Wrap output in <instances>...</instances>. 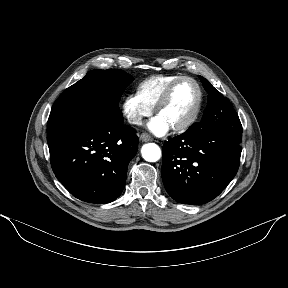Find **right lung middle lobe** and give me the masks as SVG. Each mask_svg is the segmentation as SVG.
Listing matches in <instances>:
<instances>
[{"mask_svg":"<svg viewBox=\"0 0 288 288\" xmlns=\"http://www.w3.org/2000/svg\"><path fill=\"white\" fill-rule=\"evenodd\" d=\"M132 81L129 74L119 69L91 70L84 78L64 90L55 101L49 117L73 103L96 100L113 118L123 121L118 103Z\"/></svg>","mask_w":288,"mask_h":288,"instance_id":"obj_1","label":"right lung middle lobe"}]
</instances>
